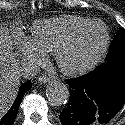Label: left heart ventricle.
<instances>
[{
  "mask_svg": "<svg viewBox=\"0 0 125 125\" xmlns=\"http://www.w3.org/2000/svg\"><path fill=\"white\" fill-rule=\"evenodd\" d=\"M102 36V30L98 26H94L86 31L79 41L66 53V62L75 65L88 59L98 49Z\"/></svg>",
  "mask_w": 125,
  "mask_h": 125,
  "instance_id": "b2bd125f",
  "label": "left heart ventricle"
}]
</instances>
